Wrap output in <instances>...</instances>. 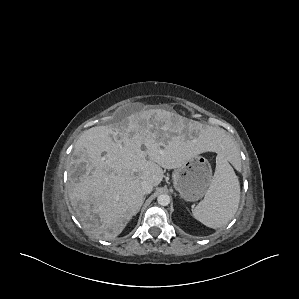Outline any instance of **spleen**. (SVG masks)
<instances>
[{
    "mask_svg": "<svg viewBox=\"0 0 299 299\" xmlns=\"http://www.w3.org/2000/svg\"><path fill=\"white\" fill-rule=\"evenodd\" d=\"M240 201V184L226 151L218 152L216 170L204 199L194 208L193 216L207 227L217 229L234 217Z\"/></svg>",
    "mask_w": 299,
    "mask_h": 299,
    "instance_id": "spleen-1",
    "label": "spleen"
}]
</instances>
